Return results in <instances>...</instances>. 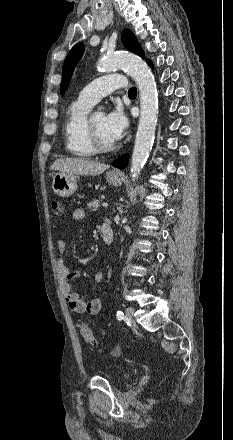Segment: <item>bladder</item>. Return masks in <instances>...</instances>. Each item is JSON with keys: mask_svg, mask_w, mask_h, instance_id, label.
Masks as SVG:
<instances>
[{"mask_svg": "<svg viewBox=\"0 0 233 440\" xmlns=\"http://www.w3.org/2000/svg\"><path fill=\"white\" fill-rule=\"evenodd\" d=\"M120 376H121L122 379H129L132 376V373L128 372V371H124V372L121 373Z\"/></svg>", "mask_w": 233, "mask_h": 440, "instance_id": "31cf9c89", "label": "bladder"}]
</instances>
